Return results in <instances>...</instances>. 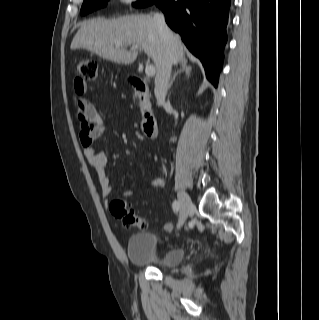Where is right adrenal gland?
<instances>
[{"instance_id":"1","label":"right adrenal gland","mask_w":319,"mask_h":320,"mask_svg":"<svg viewBox=\"0 0 319 320\" xmlns=\"http://www.w3.org/2000/svg\"><path fill=\"white\" fill-rule=\"evenodd\" d=\"M180 66H181V68H180L177 72L174 73V75H173V77H172V79H171V81H170L169 88L172 87L173 82L175 81L176 76H177L179 73H181V72L184 71L187 76H190V75H191L192 68H191V66H189V65L187 64V60H186V59H183V60L181 61Z\"/></svg>"}]
</instances>
